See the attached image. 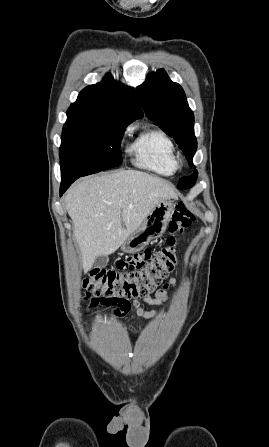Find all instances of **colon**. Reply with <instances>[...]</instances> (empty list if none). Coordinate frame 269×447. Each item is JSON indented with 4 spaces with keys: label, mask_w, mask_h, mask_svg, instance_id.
Wrapping results in <instances>:
<instances>
[{
    "label": "colon",
    "mask_w": 269,
    "mask_h": 447,
    "mask_svg": "<svg viewBox=\"0 0 269 447\" xmlns=\"http://www.w3.org/2000/svg\"><path fill=\"white\" fill-rule=\"evenodd\" d=\"M194 220V213L184 204H178L167 228L168 247L156 253L148 250L127 253L126 257H117L115 266H107L106 270L102 266H94L83 281L82 301L87 304L91 302L92 295H100L106 306H113V310L117 308L118 312L123 313L129 307L127 298L145 297L154 292L179 263L175 235L182 233ZM93 301L98 303L100 298L95 296ZM112 316L115 318L117 315L114 313Z\"/></svg>",
    "instance_id": "5ec220e1"
}]
</instances>
